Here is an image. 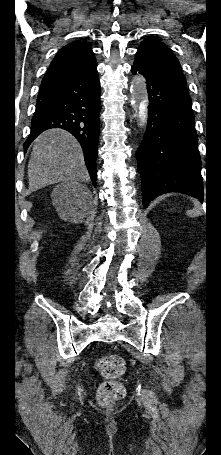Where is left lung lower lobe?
Here are the masks:
<instances>
[{
	"label": "left lung lower lobe",
	"instance_id": "0a47b994",
	"mask_svg": "<svg viewBox=\"0 0 221 455\" xmlns=\"http://www.w3.org/2000/svg\"><path fill=\"white\" fill-rule=\"evenodd\" d=\"M131 71L144 76L149 97L146 133L136 153L144 208L169 192L202 200L201 160L188 92L134 65Z\"/></svg>",
	"mask_w": 221,
	"mask_h": 455
}]
</instances>
